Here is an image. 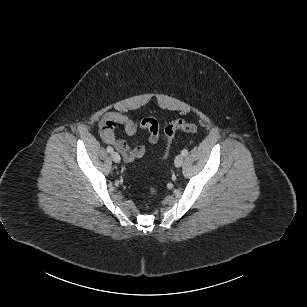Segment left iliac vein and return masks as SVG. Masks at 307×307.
I'll return each mask as SVG.
<instances>
[{
  "label": "left iliac vein",
  "instance_id": "obj_1",
  "mask_svg": "<svg viewBox=\"0 0 307 307\" xmlns=\"http://www.w3.org/2000/svg\"><path fill=\"white\" fill-rule=\"evenodd\" d=\"M183 160H184V157H183V155H182V154L177 155V156H176V158H175V160H174V164H175V166H176V167H180V166H182V164H183Z\"/></svg>",
  "mask_w": 307,
  "mask_h": 307
}]
</instances>
